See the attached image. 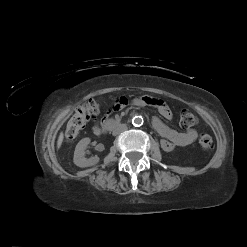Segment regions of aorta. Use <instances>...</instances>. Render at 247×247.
I'll list each match as a JSON object with an SVG mask.
<instances>
[{"mask_svg": "<svg viewBox=\"0 0 247 247\" xmlns=\"http://www.w3.org/2000/svg\"><path fill=\"white\" fill-rule=\"evenodd\" d=\"M132 124L136 127H139L143 124V118L140 115L134 114L132 116Z\"/></svg>", "mask_w": 247, "mask_h": 247, "instance_id": "aorta-1", "label": "aorta"}]
</instances>
